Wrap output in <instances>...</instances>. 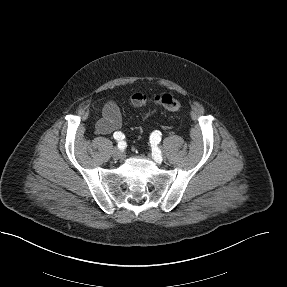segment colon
<instances>
[{
	"label": "colon",
	"instance_id": "colon-1",
	"mask_svg": "<svg viewBox=\"0 0 287 287\" xmlns=\"http://www.w3.org/2000/svg\"><path fill=\"white\" fill-rule=\"evenodd\" d=\"M131 104L135 106H144L148 103H154L166 111L178 112L181 110V102L171 94H159L152 98L147 97L142 93H136L130 98Z\"/></svg>",
	"mask_w": 287,
	"mask_h": 287
}]
</instances>
